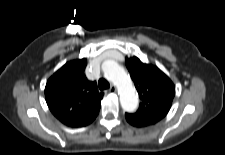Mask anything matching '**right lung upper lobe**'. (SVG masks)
Listing matches in <instances>:
<instances>
[{
  "instance_id": "obj_1",
  "label": "right lung upper lobe",
  "mask_w": 225,
  "mask_h": 155,
  "mask_svg": "<svg viewBox=\"0 0 225 155\" xmlns=\"http://www.w3.org/2000/svg\"><path fill=\"white\" fill-rule=\"evenodd\" d=\"M86 59L67 62L47 81L45 97L52 114L69 127L90 124L99 113L103 93L89 81L84 70Z\"/></svg>"
}]
</instances>
